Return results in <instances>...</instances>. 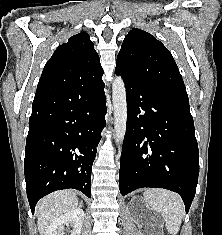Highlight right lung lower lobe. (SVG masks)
<instances>
[{"mask_svg": "<svg viewBox=\"0 0 222 235\" xmlns=\"http://www.w3.org/2000/svg\"><path fill=\"white\" fill-rule=\"evenodd\" d=\"M102 75L64 84H38L25 148V181L30 208L60 189L91 197V169L106 126Z\"/></svg>", "mask_w": 222, "mask_h": 235, "instance_id": "1", "label": "right lung lower lobe"}]
</instances>
